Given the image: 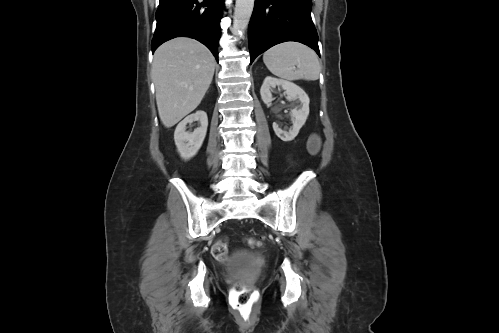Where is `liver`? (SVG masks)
Returning <instances> with one entry per match:
<instances>
[{
  "mask_svg": "<svg viewBox=\"0 0 499 333\" xmlns=\"http://www.w3.org/2000/svg\"><path fill=\"white\" fill-rule=\"evenodd\" d=\"M215 58L195 39L178 37L154 54L152 79L161 122L173 127L201 103L214 75Z\"/></svg>",
  "mask_w": 499,
  "mask_h": 333,
  "instance_id": "obj_1",
  "label": "liver"
}]
</instances>
